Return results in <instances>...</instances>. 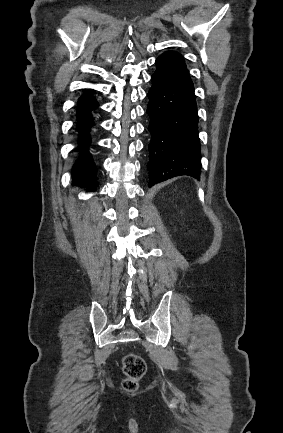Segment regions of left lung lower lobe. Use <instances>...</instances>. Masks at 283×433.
<instances>
[{
	"instance_id": "1",
	"label": "left lung lower lobe",
	"mask_w": 283,
	"mask_h": 433,
	"mask_svg": "<svg viewBox=\"0 0 283 433\" xmlns=\"http://www.w3.org/2000/svg\"><path fill=\"white\" fill-rule=\"evenodd\" d=\"M148 92L149 186L188 175L200 177L198 116L193 83L183 57L167 51L156 60Z\"/></svg>"
}]
</instances>
